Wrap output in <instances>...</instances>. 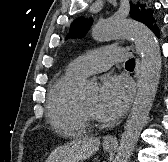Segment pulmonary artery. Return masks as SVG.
Returning a JSON list of instances; mask_svg holds the SVG:
<instances>
[{
	"instance_id": "pulmonary-artery-1",
	"label": "pulmonary artery",
	"mask_w": 168,
	"mask_h": 162,
	"mask_svg": "<svg viewBox=\"0 0 168 162\" xmlns=\"http://www.w3.org/2000/svg\"><path fill=\"white\" fill-rule=\"evenodd\" d=\"M127 50L122 47L107 46L85 53L69 65V69L81 78L110 68L114 63L123 61Z\"/></svg>"
}]
</instances>
